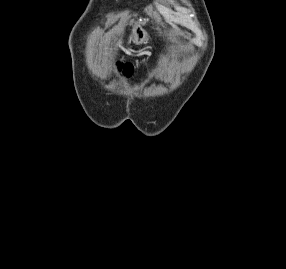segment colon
I'll return each mask as SVG.
<instances>
[{
	"instance_id": "1",
	"label": "colon",
	"mask_w": 286,
	"mask_h": 269,
	"mask_svg": "<svg viewBox=\"0 0 286 269\" xmlns=\"http://www.w3.org/2000/svg\"><path fill=\"white\" fill-rule=\"evenodd\" d=\"M124 67L126 70H129V65L126 64Z\"/></svg>"
}]
</instances>
